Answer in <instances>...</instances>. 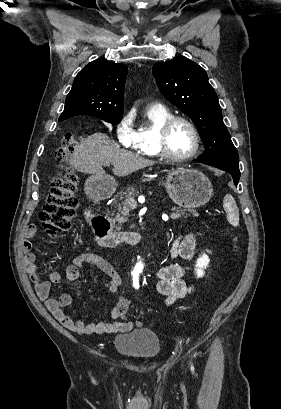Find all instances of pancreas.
Instances as JSON below:
<instances>
[{
    "label": "pancreas",
    "mask_w": 281,
    "mask_h": 409,
    "mask_svg": "<svg viewBox=\"0 0 281 409\" xmlns=\"http://www.w3.org/2000/svg\"><path fill=\"white\" fill-rule=\"evenodd\" d=\"M131 193H137V190H135L134 186H129V188H127V190H125V192H123V194H120V198H125V200H121V202H119V205H117L118 209V213H116L115 215V219L113 221V223H115V221H118L119 225L118 227H115V229H117V231H119V229H121V225L122 223H126V221H128V217H121V215H123L124 211H122V209H124V207L126 206V201L129 198V195ZM189 213H192L193 217H198V213H196V211H193V209H189ZM184 215V213H183Z\"/></svg>",
    "instance_id": "pancreas-1"
}]
</instances>
